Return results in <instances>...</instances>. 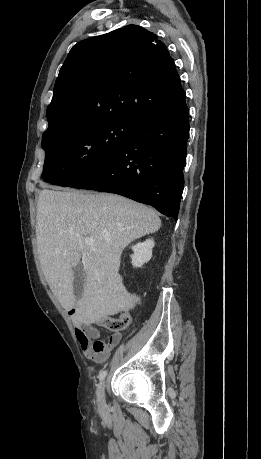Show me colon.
Instances as JSON below:
<instances>
[{
  "mask_svg": "<svg viewBox=\"0 0 261 459\" xmlns=\"http://www.w3.org/2000/svg\"><path fill=\"white\" fill-rule=\"evenodd\" d=\"M127 325V318L125 315H121L118 317H106L104 319V326L112 331V332H119L123 330Z\"/></svg>",
  "mask_w": 261,
  "mask_h": 459,
  "instance_id": "5ec220e1",
  "label": "colon"
}]
</instances>
